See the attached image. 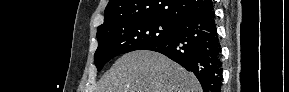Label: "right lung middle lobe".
I'll return each mask as SVG.
<instances>
[{"label": "right lung middle lobe", "mask_w": 289, "mask_h": 92, "mask_svg": "<svg viewBox=\"0 0 289 92\" xmlns=\"http://www.w3.org/2000/svg\"><path fill=\"white\" fill-rule=\"evenodd\" d=\"M178 23L149 17L121 21L98 30L94 56L98 71L117 55L167 40L176 32Z\"/></svg>", "instance_id": "obj_1"}]
</instances>
